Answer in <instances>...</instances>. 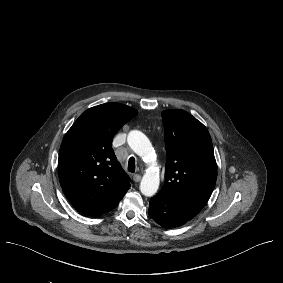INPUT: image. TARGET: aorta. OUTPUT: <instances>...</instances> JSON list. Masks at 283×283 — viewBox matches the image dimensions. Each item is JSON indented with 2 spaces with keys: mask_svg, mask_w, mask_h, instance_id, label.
<instances>
[{
  "mask_svg": "<svg viewBox=\"0 0 283 283\" xmlns=\"http://www.w3.org/2000/svg\"><path fill=\"white\" fill-rule=\"evenodd\" d=\"M127 142L130 148L149 164V168L142 177L140 191L143 195L151 197L157 192L160 183L159 170L153 160L152 144L147 136L138 130L129 132Z\"/></svg>",
  "mask_w": 283,
  "mask_h": 283,
  "instance_id": "1",
  "label": "aorta"
}]
</instances>
